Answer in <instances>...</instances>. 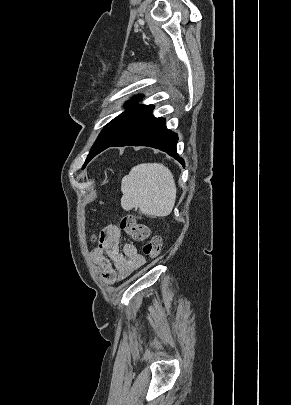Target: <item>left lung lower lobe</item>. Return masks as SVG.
I'll return each mask as SVG.
<instances>
[{"label": "left lung lower lobe", "instance_id": "left-lung-lower-lobe-1", "mask_svg": "<svg viewBox=\"0 0 291 405\" xmlns=\"http://www.w3.org/2000/svg\"><path fill=\"white\" fill-rule=\"evenodd\" d=\"M153 108L151 105L137 107L130 124L122 135L98 153L108 147L148 146L167 152L184 166L183 158L179 157L176 151L177 134L166 128L165 119L155 118L152 115Z\"/></svg>", "mask_w": 291, "mask_h": 405}]
</instances>
